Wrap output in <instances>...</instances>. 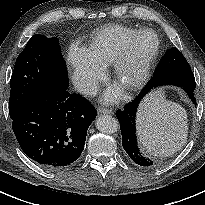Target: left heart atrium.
<instances>
[{
  "instance_id": "39dd6f15",
  "label": "left heart atrium",
  "mask_w": 205,
  "mask_h": 205,
  "mask_svg": "<svg viewBox=\"0 0 205 205\" xmlns=\"http://www.w3.org/2000/svg\"><path fill=\"white\" fill-rule=\"evenodd\" d=\"M117 96V92L116 91H110L107 95H106V100L107 101H111L112 99H114Z\"/></svg>"
}]
</instances>
